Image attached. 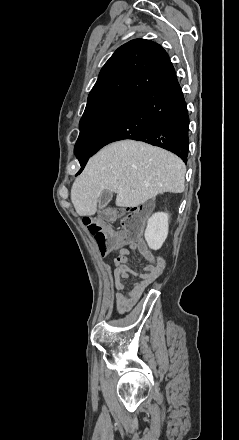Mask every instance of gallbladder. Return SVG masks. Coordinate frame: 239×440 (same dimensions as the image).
I'll return each mask as SVG.
<instances>
[{
    "instance_id": "obj_1",
    "label": "gallbladder",
    "mask_w": 239,
    "mask_h": 440,
    "mask_svg": "<svg viewBox=\"0 0 239 440\" xmlns=\"http://www.w3.org/2000/svg\"><path fill=\"white\" fill-rule=\"evenodd\" d=\"M113 198V192L110 190H102L101 196L99 198V208L100 210H104L106 206H108L110 200Z\"/></svg>"
}]
</instances>
